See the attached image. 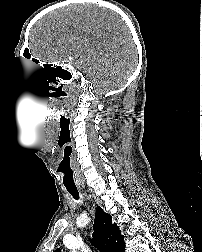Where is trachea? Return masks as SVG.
<instances>
[{
	"label": "trachea",
	"mask_w": 202,
	"mask_h": 252,
	"mask_svg": "<svg viewBox=\"0 0 202 252\" xmlns=\"http://www.w3.org/2000/svg\"><path fill=\"white\" fill-rule=\"evenodd\" d=\"M67 191L75 198L79 199V193L76 187H67Z\"/></svg>",
	"instance_id": "1"
}]
</instances>
